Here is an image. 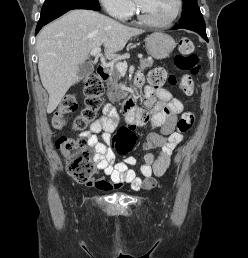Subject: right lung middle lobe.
I'll list each match as a JSON object with an SVG mask.
<instances>
[{
  "instance_id": "1",
  "label": "right lung middle lobe",
  "mask_w": 248,
  "mask_h": 258,
  "mask_svg": "<svg viewBox=\"0 0 248 258\" xmlns=\"http://www.w3.org/2000/svg\"><path fill=\"white\" fill-rule=\"evenodd\" d=\"M86 2L99 4L98 0H45L41 10V16L68 6Z\"/></svg>"
}]
</instances>
